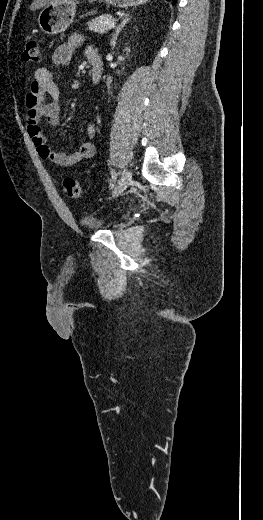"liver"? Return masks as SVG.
Here are the masks:
<instances>
[{
  "mask_svg": "<svg viewBox=\"0 0 263 520\" xmlns=\"http://www.w3.org/2000/svg\"><path fill=\"white\" fill-rule=\"evenodd\" d=\"M66 0H33L30 10L35 11L49 4H57L65 2Z\"/></svg>",
  "mask_w": 263,
  "mask_h": 520,
  "instance_id": "obj_1",
  "label": "liver"
}]
</instances>
